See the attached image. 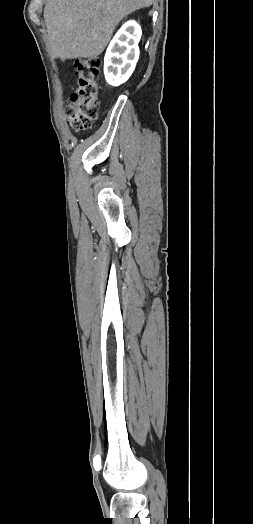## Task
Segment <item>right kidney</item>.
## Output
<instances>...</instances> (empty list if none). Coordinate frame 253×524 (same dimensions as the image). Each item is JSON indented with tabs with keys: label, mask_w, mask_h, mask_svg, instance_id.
I'll list each match as a JSON object with an SVG mask.
<instances>
[{
	"label": "right kidney",
	"mask_w": 253,
	"mask_h": 524,
	"mask_svg": "<svg viewBox=\"0 0 253 524\" xmlns=\"http://www.w3.org/2000/svg\"><path fill=\"white\" fill-rule=\"evenodd\" d=\"M141 35V27L135 21L126 22L116 33L104 57V75L108 84L118 86L129 79L139 59Z\"/></svg>",
	"instance_id": "obj_1"
}]
</instances>
